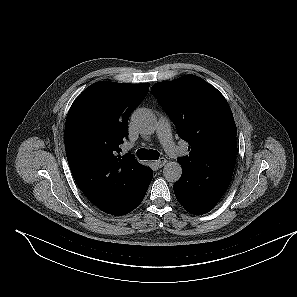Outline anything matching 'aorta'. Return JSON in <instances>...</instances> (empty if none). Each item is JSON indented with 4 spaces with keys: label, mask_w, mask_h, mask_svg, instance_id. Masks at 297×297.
I'll use <instances>...</instances> for the list:
<instances>
[{
    "label": "aorta",
    "mask_w": 297,
    "mask_h": 297,
    "mask_svg": "<svg viewBox=\"0 0 297 297\" xmlns=\"http://www.w3.org/2000/svg\"><path fill=\"white\" fill-rule=\"evenodd\" d=\"M134 127L143 134H151L155 131L156 120L147 109H137L131 116ZM163 175L168 182H176L182 175V167L176 161H169L163 168Z\"/></svg>",
    "instance_id": "obj_1"
}]
</instances>
